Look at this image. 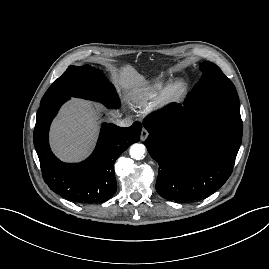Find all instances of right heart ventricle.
Wrapping results in <instances>:
<instances>
[{
    "label": "right heart ventricle",
    "instance_id": "1",
    "mask_svg": "<svg viewBox=\"0 0 269 269\" xmlns=\"http://www.w3.org/2000/svg\"><path fill=\"white\" fill-rule=\"evenodd\" d=\"M165 85L166 80H156L148 86L133 92L131 101L137 106H146L158 97Z\"/></svg>",
    "mask_w": 269,
    "mask_h": 269
}]
</instances>
